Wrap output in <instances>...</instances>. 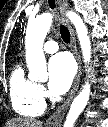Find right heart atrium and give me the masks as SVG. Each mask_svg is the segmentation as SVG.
Instances as JSON below:
<instances>
[{
    "label": "right heart atrium",
    "mask_w": 108,
    "mask_h": 127,
    "mask_svg": "<svg viewBox=\"0 0 108 127\" xmlns=\"http://www.w3.org/2000/svg\"><path fill=\"white\" fill-rule=\"evenodd\" d=\"M38 94L42 100L47 97V92L42 85H38Z\"/></svg>",
    "instance_id": "right-heart-atrium-1"
}]
</instances>
